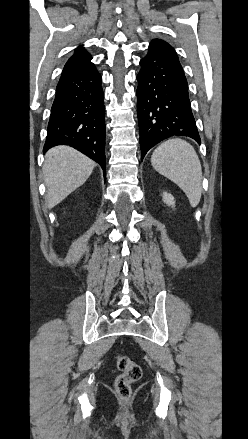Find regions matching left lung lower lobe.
<instances>
[{
    "label": "left lung lower lobe",
    "instance_id": "left-lung-lower-lobe-1",
    "mask_svg": "<svg viewBox=\"0 0 248 439\" xmlns=\"http://www.w3.org/2000/svg\"><path fill=\"white\" fill-rule=\"evenodd\" d=\"M140 65L137 115L141 160L149 149L171 136H188L200 144L187 80L174 48L153 40Z\"/></svg>",
    "mask_w": 248,
    "mask_h": 439
}]
</instances>
